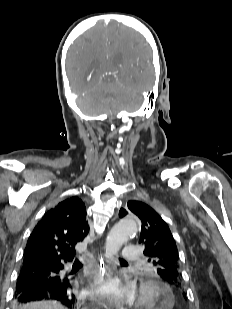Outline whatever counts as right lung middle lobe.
Listing matches in <instances>:
<instances>
[{
  "label": "right lung middle lobe",
  "instance_id": "1",
  "mask_svg": "<svg viewBox=\"0 0 232 309\" xmlns=\"http://www.w3.org/2000/svg\"><path fill=\"white\" fill-rule=\"evenodd\" d=\"M52 276H53V275H48V276H47L48 280H52ZM19 277H23V278H25V279H27V280H30V279L33 278V276H31V275H29V274H22V273H20Z\"/></svg>",
  "mask_w": 232,
  "mask_h": 309
}]
</instances>
